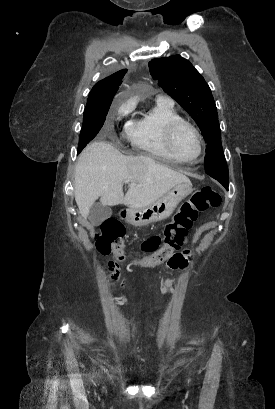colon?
<instances>
[{"instance_id": "colon-1", "label": "colon", "mask_w": 275, "mask_h": 409, "mask_svg": "<svg viewBox=\"0 0 275 409\" xmlns=\"http://www.w3.org/2000/svg\"><path fill=\"white\" fill-rule=\"evenodd\" d=\"M220 205L221 198L213 188L206 186L196 191L181 204L161 234H155L143 241L141 248L148 253V256L137 257L136 263L145 264L146 269L165 265L166 259L174 255L176 248L184 247L188 231L198 213L206 214L209 208H217ZM123 236V225L115 219H107L100 225L95 243L101 252L106 254L112 252L121 256L124 251ZM119 266L118 261H111L108 273L114 274Z\"/></svg>"}]
</instances>
